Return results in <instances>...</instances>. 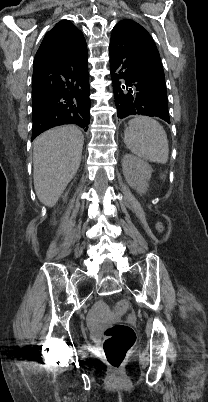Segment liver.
Here are the masks:
<instances>
[{"mask_svg": "<svg viewBox=\"0 0 208 402\" xmlns=\"http://www.w3.org/2000/svg\"><path fill=\"white\" fill-rule=\"evenodd\" d=\"M84 136L76 126L44 132L33 144V180L38 200L53 208L81 162Z\"/></svg>", "mask_w": 208, "mask_h": 402, "instance_id": "6515ba94", "label": "liver"}]
</instances>
